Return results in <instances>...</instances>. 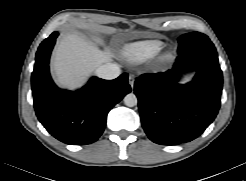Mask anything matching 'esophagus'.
<instances>
[{
  "mask_svg": "<svg viewBox=\"0 0 246 181\" xmlns=\"http://www.w3.org/2000/svg\"><path fill=\"white\" fill-rule=\"evenodd\" d=\"M134 81H135V77L133 75H129L128 82L131 88H133L134 86Z\"/></svg>",
  "mask_w": 246,
  "mask_h": 181,
  "instance_id": "1",
  "label": "esophagus"
}]
</instances>
